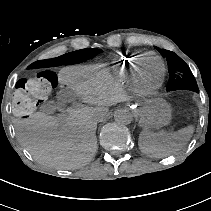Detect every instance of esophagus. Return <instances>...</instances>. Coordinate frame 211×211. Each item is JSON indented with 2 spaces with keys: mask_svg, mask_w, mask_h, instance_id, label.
I'll return each mask as SVG.
<instances>
[{
  "mask_svg": "<svg viewBox=\"0 0 211 211\" xmlns=\"http://www.w3.org/2000/svg\"><path fill=\"white\" fill-rule=\"evenodd\" d=\"M125 107L128 110L136 111V112H139L142 109L141 103H139V102H131V101L126 102Z\"/></svg>",
  "mask_w": 211,
  "mask_h": 211,
  "instance_id": "esophagus-1",
  "label": "esophagus"
}]
</instances>
